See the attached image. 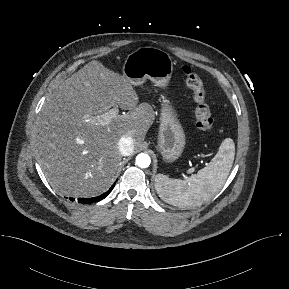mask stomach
Listing matches in <instances>:
<instances>
[{
  "instance_id": "1",
  "label": "stomach",
  "mask_w": 289,
  "mask_h": 289,
  "mask_svg": "<svg viewBox=\"0 0 289 289\" xmlns=\"http://www.w3.org/2000/svg\"><path fill=\"white\" fill-rule=\"evenodd\" d=\"M122 71L123 76L134 86L149 79L156 86L165 89L173 73V61L170 55L161 49L140 47L127 56ZM185 144V133L177 113L163 96L157 149L164 161L171 163L182 155Z\"/></svg>"
}]
</instances>
